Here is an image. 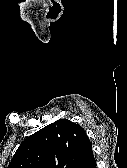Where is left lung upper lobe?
I'll list each match as a JSON object with an SVG mask.
<instances>
[{"label": "left lung upper lobe", "instance_id": "left-lung-upper-lobe-1", "mask_svg": "<svg viewBox=\"0 0 127 168\" xmlns=\"http://www.w3.org/2000/svg\"><path fill=\"white\" fill-rule=\"evenodd\" d=\"M88 140L80 125L57 120L27 137L7 168H77Z\"/></svg>", "mask_w": 127, "mask_h": 168}]
</instances>
